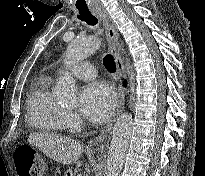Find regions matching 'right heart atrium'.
Here are the masks:
<instances>
[{
  "mask_svg": "<svg viewBox=\"0 0 205 176\" xmlns=\"http://www.w3.org/2000/svg\"><path fill=\"white\" fill-rule=\"evenodd\" d=\"M64 120L65 123L72 125L79 122V117L72 110H64Z\"/></svg>",
  "mask_w": 205,
  "mask_h": 176,
  "instance_id": "1",
  "label": "right heart atrium"
}]
</instances>
